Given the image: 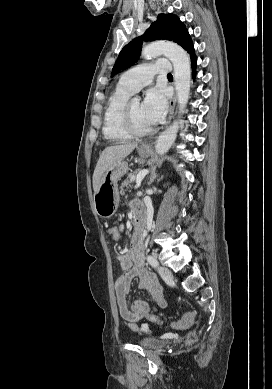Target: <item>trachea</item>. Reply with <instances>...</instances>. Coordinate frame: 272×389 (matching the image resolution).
I'll list each match as a JSON object with an SVG mask.
<instances>
[{
  "label": "trachea",
  "instance_id": "1",
  "mask_svg": "<svg viewBox=\"0 0 272 389\" xmlns=\"http://www.w3.org/2000/svg\"><path fill=\"white\" fill-rule=\"evenodd\" d=\"M167 77H170V78H172L173 76H172V74H168V75H167Z\"/></svg>",
  "mask_w": 272,
  "mask_h": 389
}]
</instances>
